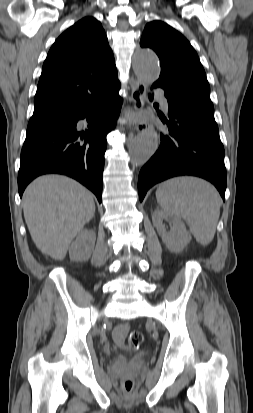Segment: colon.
Segmentation results:
<instances>
[{"instance_id":"colon-1","label":"colon","mask_w":253,"mask_h":413,"mask_svg":"<svg viewBox=\"0 0 253 413\" xmlns=\"http://www.w3.org/2000/svg\"><path fill=\"white\" fill-rule=\"evenodd\" d=\"M143 340H144V336L142 333L138 331H133L129 335L128 344L131 348L136 349L142 344ZM133 388H134V381L132 377L126 376L121 381L122 391L126 394H130L133 391Z\"/></svg>"}]
</instances>
